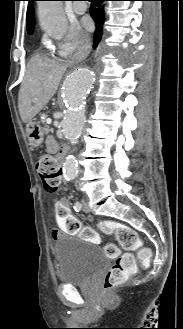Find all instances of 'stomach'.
Returning <instances> with one entry per match:
<instances>
[{
    "label": "stomach",
    "mask_w": 183,
    "mask_h": 329,
    "mask_svg": "<svg viewBox=\"0 0 183 329\" xmlns=\"http://www.w3.org/2000/svg\"><path fill=\"white\" fill-rule=\"evenodd\" d=\"M26 133L32 147H38L43 142L45 132L39 122L29 121L26 125Z\"/></svg>",
    "instance_id": "obj_1"
}]
</instances>
